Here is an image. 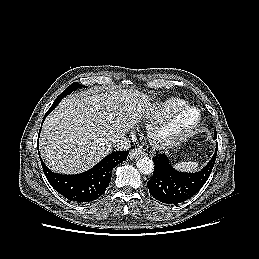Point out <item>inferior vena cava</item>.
<instances>
[{"label": "inferior vena cava", "mask_w": 259, "mask_h": 259, "mask_svg": "<svg viewBox=\"0 0 259 259\" xmlns=\"http://www.w3.org/2000/svg\"><path fill=\"white\" fill-rule=\"evenodd\" d=\"M130 146V140L124 136L115 140L113 143V147H115L117 150H128Z\"/></svg>", "instance_id": "1"}]
</instances>
